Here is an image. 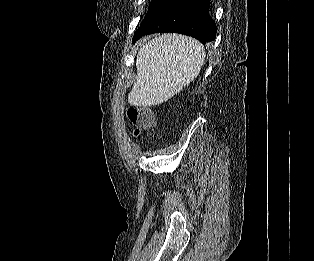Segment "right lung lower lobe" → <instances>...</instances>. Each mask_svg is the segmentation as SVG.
Returning a JSON list of instances; mask_svg holds the SVG:
<instances>
[{
	"mask_svg": "<svg viewBox=\"0 0 314 261\" xmlns=\"http://www.w3.org/2000/svg\"><path fill=\"white\" fill-rule=\"evenodd\" d=\"M209 0H174L136 30L133 42L151 33L175 32L192 36L203 44L216 38V24L209 14Z\"/></svg>",
	"mask_w": 314,
	"mask_h": 261,
	"instance_id": "right-lung-lower-lobe-1",
	"label": "right lung lower lobe"
}]
</instances>
